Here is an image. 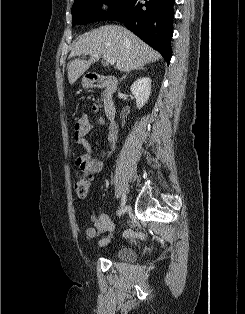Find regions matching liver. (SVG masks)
Here are the masks:
<instances>
[{
    "label": "liver",
    "instance_id": "6515ba94",
    "mask_svg": "<svg viewBox=\"0 0 245 314\" xmlns=\"http://www.w3.org/2000/svg\"><path fill=\"white\" fill-rule=\"evenodd\" d=\"M104 54L116 58L117 70L127 72L161 58L156 50L125 27L101 26L82 35L72 48L70 57L73 59L68 65L69 83L74 84ZM81 55H90L91 58L88 61L77 58Z\"/></svg>",
    "mask_w": 245,
    "mask_h": 314
}]
</instances>
